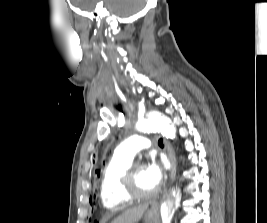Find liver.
Returning <instances> with one entry per match:
<instances>
[{"label": "liver", "instance_id": "obj_1", "mask_svg": "<svg viewBox=\"0 0 267 223\" xmlns=\"http://www.w3.org/2000/svg\"><path fill=\"white\" fill-rule=\"evenodd\" d=\"M147 208L148 204H144L128 209L119 217H117L112 223H137L142 218Z\"/></svg>", "mask_w": 267, "mask_h": 223}]
</instances>
